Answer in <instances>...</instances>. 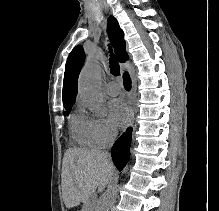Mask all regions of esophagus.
<instances>
[{"instance_id": "1", "label": "esophagus", "mask_w": 219, "mask_h": 211, "mask_svg": "<svg viewBox=\"0 0 219 211\" xmlns=\"http://www.w3.org/2000/svg\"><path fill=\"white\" fill-rule=\"evenodd\" d=\"M127 103H128V109H129L128 126L130 127V126H133L134 118H135L134 101H133L132 90H129L127 92Z\"/></svg>"}]
</instances>
